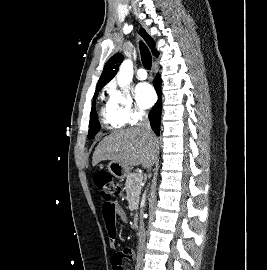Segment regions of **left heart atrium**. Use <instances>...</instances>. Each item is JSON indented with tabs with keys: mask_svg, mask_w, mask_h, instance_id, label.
<instances>
[{
	"mask_svg": "<svg viewBox=\"0 0 267 270\" xmlns=\"http://www.w3.org/2000/svg\"><path fill=\"white\" fill-rule=\"evenodd\" d=\"M135 97L138 105L143 108H149L155 102V92L150 84L139 83L135 87Z\"/></svg>",
	"mask_w": 267,
	"mask_h": 270,
	"instance_id": "39dd6f15",
	"label": "left heart atrium"
}]
</instances>
